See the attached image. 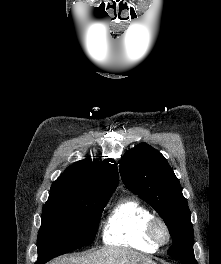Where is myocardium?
<instances>
[{
  "mask_svg": "<svg viewBox=\"0 0 221 264\" xmlns=\"http://www.w3.org/2000/svg\"><path fill=\"white\" fill-rule=\"evenodd\" d=\"M147 236L157 247L166 245L171 238L168 225L163 219L152 216L147 224Z\"/></svg>",
  "mask_w": 221,
  "mask_h": 264,
  "instance_id": "myocardium-1",
  "label": "myocardium"
}]
</instances>
